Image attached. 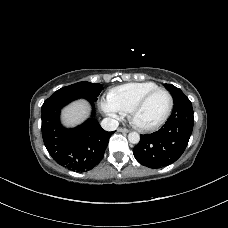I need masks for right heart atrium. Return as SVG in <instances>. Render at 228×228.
I'll return each instance as SVG.
<instances>
[{
	"mask_svg": "<svg viewBox=\"0 0 228 228\" xmlns=\"http://www.w3.org/2000/svg\"><path fill=\"white\" fill-rule=\"evenodd\" d=\"M100 106L103 112L112 119H119L122 113L110 102L108 98L101 100Z\"/></svg>",
	"mask_w": 228,
	"mask_h": 228,
	"instance_id": "right-heart-atrium-1",
	"label": "right heart atrium"
}]
</instances>
